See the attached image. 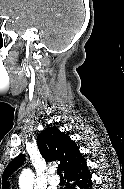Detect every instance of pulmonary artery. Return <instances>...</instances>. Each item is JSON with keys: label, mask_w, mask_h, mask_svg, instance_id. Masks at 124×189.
I'll list each match as a JSON object with an SVG mask.
<instances>
[{"label": "pulmonary artery", "mask_w": 124, "mask_h": 189, "mask_svg": "<svg viewBox=\"0 0 124 189\" xmlns=\"http://www.w3.org/2000/svg\"><path fill=\"white\" fill-rule=\"evenodd\" d=\"M59 183H60V180L55 175H52L49 178V184L51 185L52 188L58 186Z\"/></svg>", "instance_id": "obj_1"}]
</instances>
